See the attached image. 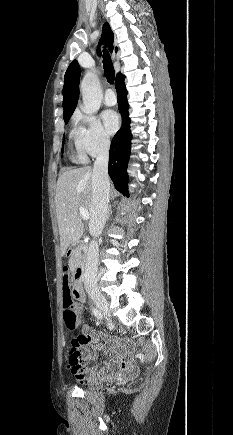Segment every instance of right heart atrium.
Wrapping results in <instances>:
<instances>
[{"instance_id":"right-heart-atrium-1","label":"right heart atrium","mask_w":233,"mask_h":435,"mask_svg":"<svg viewBox=\"0 0 233 435\" xmlns=\"http://www.w3.org/2000/svg\"><path fill=\"white\" fill-rule=\"evenodd\" d=\"M75 121L82 129L81 149L85 154L96 157L108 151L110 137L95 116L77 113Z\"/></svg>"}]
</instances>
